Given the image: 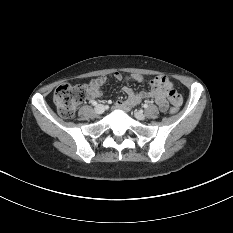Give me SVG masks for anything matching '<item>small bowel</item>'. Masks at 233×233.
<instances>
[{
  "label": "small bowel",
  "instance_id": "obj_1",
  "mask_svg": "<svg viewBox=\"0 0 233 233\" xmlns=\"http://www.w3.org/2000/svg\"><path fill=\"white\" fill-rule=\"evenodd\" d=\"M112 78L122 81L124 79L132 80L135 82H142L144 76L141 74H132L128 77H124L120 73H114ZM107 77L100 76L91 80L88 84V99L93 102L96 98L102 95L101 88L106 83ZM150 91L135 92L132 88L125 86L123 92L126 94L125 100H118L115 103V108L129 111L134 106L139 104L143 99H154L155 103L158 105L162 112L168 110L169 102L168 99L174 104V100L177 99L178 95L176 91L169 89H174L172 83L165 76L156 77L151 83ZM181 96L179 95L178 105L181 104Z\"/></svg>",
  "mask_w": 233,
  "mask_h": 233
}]
</instances>
